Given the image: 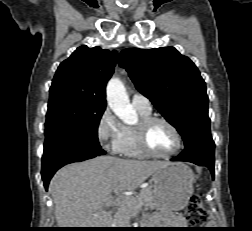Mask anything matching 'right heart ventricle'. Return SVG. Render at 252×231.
Listing matches in <instances>:
<instances>
[{"label":"right heart ventricle","instance_id":"right-heart-ventricle-1","mask_svg":"<svg viewBox=\"0 0 252 231\" xmlns=\"http://www.w3.org/2000/svg\"><path fill=\"white\" fill-rule=\"evenodd\" d=\"M137 111L139 112L141 118L151 116V111H144L141 109H137ZM118 152L129 157L142 158L146 156V154L143 153L138 146L134 126L123 127V137L119 145Z\"/></svg>","mask_w":252,"mask_h":231}]
</instances>
